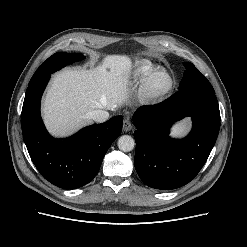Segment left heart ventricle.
I'll list each match as a JSON object with an SVG mask.
<instances>
[{"label":"left heart ventricle","mask_w":247,"mask_h":247,"mask_svg":"<svg viewBox=\"0 0 247 247\" xmlns=\"http://www.w3.org/2000/svg\"><path fill=\"white\" fill-rule=\"evenodd\" d=\"M169 87V79L163 74H156L149 83V91L154 95L162 94Z\"/></svg>","instance_id":"left-heart-ventricle-1"}]
</instances>
